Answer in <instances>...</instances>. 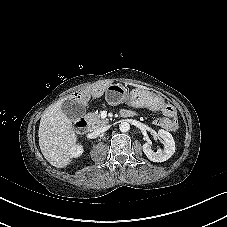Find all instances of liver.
<instances>
[{
  "instance_id": "1",
  "label": "liver",
  "mask_w": 227,
  "mask_h": 227,
  "mask_svg": "<svg viewBox=\"0 0 227 227\" xmlns=\"http://www.w3.org/2000/svg\"><path fill=\"white\" fill-rule=\"evenodd\" d=\"M63 102L64 99L59 100L45 110L38 131L41 152L56 168H64L71 162V151L77 142L72 121L62 111Z\"/></svg>"
}]
</instances>
